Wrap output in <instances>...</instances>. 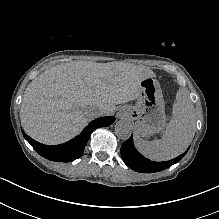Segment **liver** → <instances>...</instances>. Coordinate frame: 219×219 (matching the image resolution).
Segmentation results:
<instances>
[{"mask_svg":"<svg viewBox=\"0 0 219 219\" xmlns=\"http://www.w3.org/2000/svg\"><path fill=\"white\" fill-rule=\"evenodd\" d=\"M149 74L143 66L116 62L75 61L50 67L25 89L19 111L22 128L41 144L66 143L93 119L131 100Z\"/></svg>","mask_w":219,"mask_h":219,"instance_id":"1","label":"liver"}]
</instances>
